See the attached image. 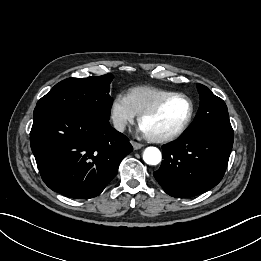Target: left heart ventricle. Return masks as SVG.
<instances>
[{"instance_id": "b2bd125f", "label": "left heart ventricle", "mask_w": 261, "mask_h": 261, "mask_svg": "<svg viewBox=\"0 0 261 261\" xmlns=\"http://www.w3.org/2000/svg\"><path fill=\"white\" fill-rule=\"evenodd\" d=\"M188 102L181 98L168 100L154 115L146 117L142 128L150 135H164L176 130L186 119Z\"/></svg>"}]
</instances>
